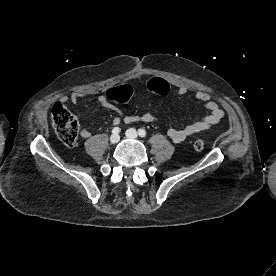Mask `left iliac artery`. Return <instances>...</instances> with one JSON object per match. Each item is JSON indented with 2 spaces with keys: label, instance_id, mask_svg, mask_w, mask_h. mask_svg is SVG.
Segmentation results:
<instances>
[{
  "label": "left iliac artery",
  "instance_id": "44dca946",
  "mask_svg": "<svg viewBox=\"0 0 276 276\" xmlns=\"http://www.w3.org/2000/svg\"><path fill=\"white\" fill-rule=\"evenodd\" d=\"M138 133L141 137H145L146 136V131L144 129H139Z\"/></svg>",
  "mask_w": 276,
  "mask_h": 276
}]
</instances>
